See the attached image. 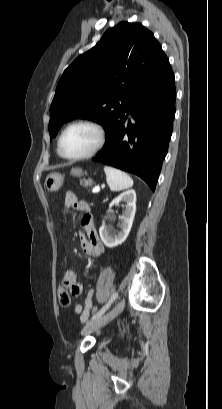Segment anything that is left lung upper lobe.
<instances>
[{"label": "left lung upper lobe", "mask_w": 222, "mask_h": 409, "mask_svg": "<svg viewBox=\"0 0 222 409\" xmlns=\"http://www.w3.org/2000/svg\"><path fill=\"white\" fill-rule=\"evenodd\" d=\"M171 70L152 32L139 23L121 22L64 71L50 107V136L75 118L105 130L132 98Z\"/></svg>", "instance_id": "5c2ea615"}]
</instances>
